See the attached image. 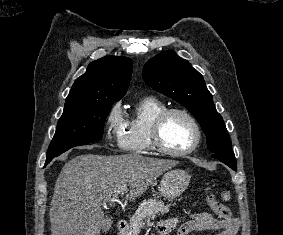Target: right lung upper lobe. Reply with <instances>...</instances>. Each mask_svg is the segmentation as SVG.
I'll return each mask as SVG.
<instances>
[{"label":"right lung upper lobe","mask_w":283,"mask_h":235,"mask_svg":"<svg viewBox=\"0 0 283 235\" xmlns=\"http://www.w3.org/2000/svg\"><path fill=\"white\" fill-rule=\"evenodd\" d=\"M133 64L127 57L106 56L91 62L76 79L65 103L119 101L127 92Z\"/></svg>","instance_id":"1"}]
</instances>
